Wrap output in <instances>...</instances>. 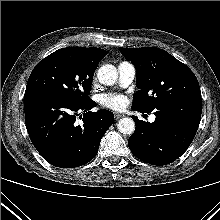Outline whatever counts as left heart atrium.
Here are the masks:
<instances>
[{
  "label": "left heart atrium",
  "instance_id": "39dd6f15",
  "mask_svg": "<svg viewBox=\"0 0 220 220\" xmlns=\"http://www.w3.org/2000/svg\"><path fill=\"white\" fill-rule=\"evenodd\" d=\"M101 103L108 108L120 109L125 104V97L120 94H106L101 97Z\"/></svg>",
  "mask_w": 220,
  "mask_h": 220
}]
</instances>
